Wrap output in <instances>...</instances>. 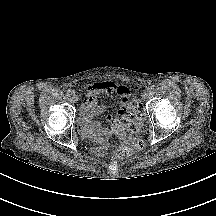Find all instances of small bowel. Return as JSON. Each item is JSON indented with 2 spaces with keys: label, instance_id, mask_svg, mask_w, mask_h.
<instances>
[{
  "label": "small bowel",
  "instance_id": "c3829d8e",
  "mask_svg": "<svg viewBox=\"0 0 216 216\" xmlns=\"http://www.w3.org/2000/svg\"><path fill=\"white\" fill-rule=\"evenodd\" d=\"M99 95L105 97L118 96L120 98L121 108L116 113L108 116V120L112 123L124 113V109L129 102L130 90L127 86L114 82L94 83L87 88L81 106L79 129L85 137L102 144L105 142L108 132L102 128L99 122L94 120L95 116L105 111V106L99 102Z\"/></svg>",
  "mask_w": 216,
  "mask_h": 216
}]
</instances>
